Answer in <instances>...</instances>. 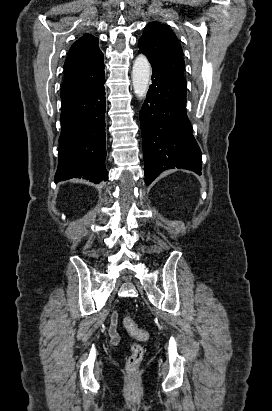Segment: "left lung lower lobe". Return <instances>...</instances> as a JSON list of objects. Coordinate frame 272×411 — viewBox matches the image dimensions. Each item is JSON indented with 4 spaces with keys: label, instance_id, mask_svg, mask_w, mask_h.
<instances>
[{
    "label": "left lung lower lobe",
    "instance_id": "obj_1",
    "mask_svg": "<svg viewBox=\"0 0 272 411\" xmlns=\"http://www.w3.org/2000/svg\"><path fill=\"white\" fill-rule=\"evenodd\" d=\"M152 71V85L139 114L147 185L166 169L200 174L202 168L201 150L186 112V87L157 69Z\"/></svg>",
    "mask_w": 272,
    "mask_h": 411
}]
</instances>
